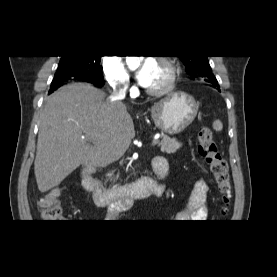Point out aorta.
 Here are the masks:
<instances>
[{
    "mask_svg": "<svg viewBox=\"0 0 277 277\" xmlns=\"http://www.w3.org/2000/svg\"><path fill=\"white\" fill-rule=\"evenodd\" d=\"M139 61V56H127V63L129 66L137 65Z\"/></svg>",
    "mask_w": 277,
    "mask_h": 277,
    "instance_id": "1",
    "label": "aorta"
}]
</instances>
